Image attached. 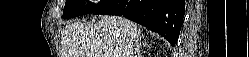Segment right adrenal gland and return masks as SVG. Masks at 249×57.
Returning <instances> with one entry per match:
<instances>
[{
  "label": "right adrenal gland",
  "instance_id": "right-adrenal-gland-1",
  "mask_svg": "<svg viewBox=\"0 0 249 57\" xmlns=\"http://www.w3.org/2000/svg\"><path fill=\"white\" fill-rule=\"evenodd\" d=\"M135 45H136V52L135 53H137V56L138 57H141V47H145V46H147L148 44H147V42L146 41H138V42H136L135 43Z\"/></svg>",
  "mask_w": 249,
  "mask_h": 57
}]
</instances>
